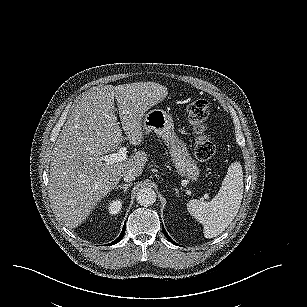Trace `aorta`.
<instances>
[{
	"instance_id": "762f6f07",
	"label": "aorta",
	"mask_w": 307,
	"mask_h": 307,
	"mask_svg": "<svg viewBox=\"0 0 307 307\" xmlns=\"http://www.w3.org/2000/svg\"><path fill=\"white\" fill-rule=\"evenodd\" d=\"M137 203L141 206L148 207L154 204L156 201V193L150 187H144L139 189L136 194Z\"/></svg>"
}]
</instances>
